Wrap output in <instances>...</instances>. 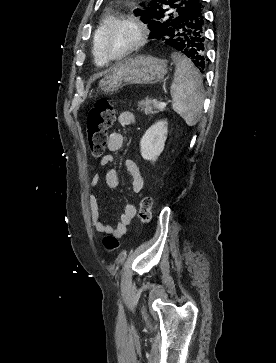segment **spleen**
<instances>
[{
    "label": "spleen",
    "mask_w": 276,
    "mask_h": 363,
    "mask_svg": "<svg viewBox=\"0 0 276 363\" xmlns=\"http://www.w3.org/2000/svg\"><path fill=\"white\" fill-rule=\"evenodd\" d=\"M172 59L176 65L170 88L173 98L172 108L188 126H194L202 117L204 102L202 78L191 61L180 53H173Z\"/></svg>",
    "instance_id": "1"
}]
</instances>
